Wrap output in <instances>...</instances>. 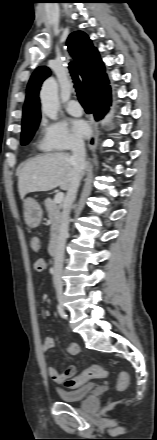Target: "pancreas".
Listing matches in <instances>:
<instances>
[{
  "label": "pancreas",
  "instance_id": "1",
  "mask_svg": "<svg viewBox=\"0 0 157 440\" xmlns=\"http://www.w3.org/2000/svg\"><path fill=\"white\" fill-rule=\"evenodd\" d=\"M48 217L51 222L50 228V242L53 243L56 240L57 233L59 231L61 222V212L59 206L50 198H47L44 202Z\"/></svg>",
  "mask_w": 157,
  "mask_h": 440
}]
</instances>
